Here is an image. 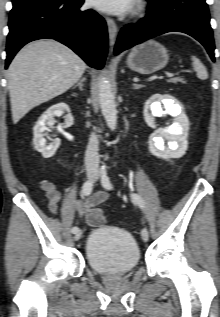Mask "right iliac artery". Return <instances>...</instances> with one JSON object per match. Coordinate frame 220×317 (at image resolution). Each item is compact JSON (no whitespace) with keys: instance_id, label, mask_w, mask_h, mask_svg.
Segmentation results:
<instances>
[{"instance_id":"82829eb1","label":"right iliac artery","mask_w":220,"mask_h":317,"mask_svg":"<svg viewBox=\"0 0 220 317\" xmlns=\"http://www.w3.org/2000/svg\"><path fill=\"white\" fill-rule=\"evenodd\" d=\"M93 189V180H88L83 184L82 192L84 196H89ZM79 230L78 227L72 228V233H76Z\"/></svg>"}]
</instances>
